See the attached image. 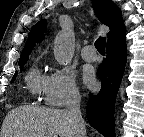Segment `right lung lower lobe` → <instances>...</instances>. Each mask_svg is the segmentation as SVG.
Returning <instances> with one entry per match:
<instances>
[{"label":"right lung lower lobe","mask_w":144,"mask_h":137,"mask_svg":"<svg viewBox=\"0 0 144 137\" xmlns=\"http://www.w3.org/2000/svg\"><path fill=\"white\" fill-rule=\"evenodd\" d=\"M106 52L98 69L102 88L97 95H90L87 119L105 137H114V103L127 57L125 39L107 46Z\"/></svg>","instance_id":"obj_1"}]
</instances>
